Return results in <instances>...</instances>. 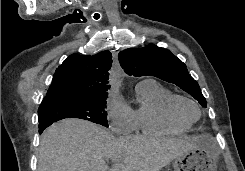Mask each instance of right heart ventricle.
Returning <instances> with one entry per match:
<instances>
[{"label":"right heart ventricle","instance_id":"obj_1","mask_svg":"<svg viewBox=\"0 0 245 171\" xmlns=\"http://www.w3.org/2000/svg\"><path fill=\"white\" fill-rule=\"evenodd\" d=\"M138 107L133 111L135 129L150 135L186 132L189 126L173 120L166 103L174 94L158 82L148 79L136 86Z\"/></svg>","mask_w":245,"mask_h":171}]
</instances>
